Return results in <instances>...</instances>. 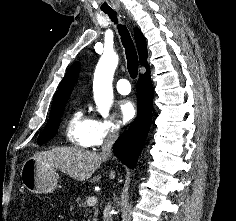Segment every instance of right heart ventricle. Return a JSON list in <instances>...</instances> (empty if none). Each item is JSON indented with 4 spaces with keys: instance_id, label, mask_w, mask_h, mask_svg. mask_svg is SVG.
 <instances>
[{
    "instance_id": "1",
    "label": "right heart ventricle",
    "mask_w": 236,
    "mask_h": 221,
    "mask_svg": "<svg viewBox=\"0 0 236 221\" xmlns=\"http://www.w3.org/2000/svg\"><path fill=\"white\" fill-rule=\"evenodd\" d=\"M92 119L83 108H77L67 123L66 136L74 145L82 148L89 147V134Z\"/></svg>"
}]
</instances>
